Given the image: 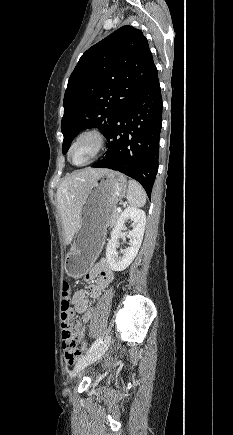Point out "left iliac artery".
<instances>
[{"label":"left iliac artery","instance_id":"44dca946","mask_svg":"<svg viewBox=\"0 0 233 435\" xmlns=\"http://www.w3.org/2000/svg\"><path fill=\"white\" fill-rule=\"evenodd\" d=\"M102 343V338L99 337L90 347L88 353H91L92 351H94L96 348H98V346Z\"/></svg>","mask_w":233,"mask_h":435}]
</instances>
